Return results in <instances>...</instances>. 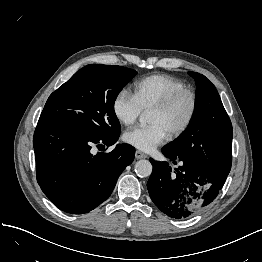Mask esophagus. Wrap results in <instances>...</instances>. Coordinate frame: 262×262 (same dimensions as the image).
<instances>
[{
	"label": "esophagus",
	"mask_w": 262,
	"mask_h": 262,
	"mask_svg": "<svg viewBox=\"0 0 262 262\" xmlns=\"http://www.w3.org/2000/svg\"><path fill=\"white\" fill-rule=\"evenodd\" d=\"M135 158L136 159H145V158H147V155L145 153L137 150L135 152Z\"/></svg>",
	"instance_id": "obj_1"
}]
</instances>
